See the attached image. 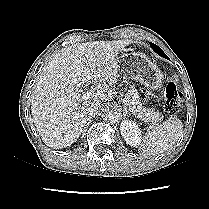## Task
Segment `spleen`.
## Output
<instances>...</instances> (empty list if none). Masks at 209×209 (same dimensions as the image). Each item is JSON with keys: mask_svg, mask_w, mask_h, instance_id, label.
<instances>
[{"mask_svg": "<svg viewBox=\"0 0 209 209\" xmlns=\"http://www.w3.org/2000/svg\"><path fill=\"white\" fill-rule=\"evenodd\" d=\"M182 133V122L177 118H170L145 133L139 152L153 156L164 153L173 147Z\"/></svg>", "mask_w": 209, "mask_h": 209, "instance_id": "spleen-1", "label": "spleen"}]
</instances>
